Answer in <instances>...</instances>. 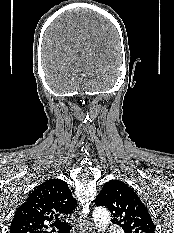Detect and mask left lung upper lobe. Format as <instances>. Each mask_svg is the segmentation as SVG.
I'll return each instance as SVG.
<instances>
[{"mask_svg": "<svg viewBox=\"0 0 174 233\" xmlns=\"http://www.w3.org/2000/svg\"><path fill=\"white\" fill-rule=\"evenodd\" d=\"M97 206L107 207L125 233H154L155 225L137 194L122 181L105 183L95 199Z\"/></svg>", "mask_w": 174, "mask_h": 233, "instance_id": "left-lung-upper-lobe-1", "label": "left lung upper lobe"}]
</instances>
